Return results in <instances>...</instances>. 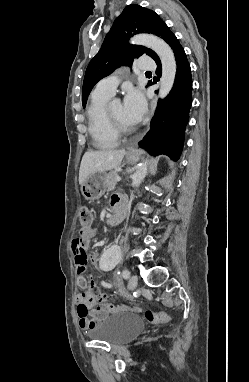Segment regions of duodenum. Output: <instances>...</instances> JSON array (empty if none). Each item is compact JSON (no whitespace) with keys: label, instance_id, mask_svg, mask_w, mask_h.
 Returning <instances> with one entry per match:
<instances>
[{"label":"duodenum","instance_id":"410a0bca","mask_svg":"<svg viewBox=\"0 0 249 382\" xmlns=\"http://www.w3.org/2000/svg\"><path fill=\"white\" fill-rule=\"evenodd\" d=\"M126 217V202L120 199L117 203L113 205L112 215L108 220V224H114L116 222H121Z\"/></svg>","mask_w":249,"mask_h":382}]
</instances>
